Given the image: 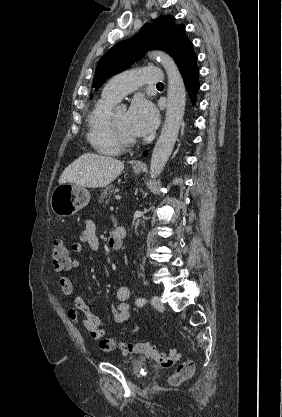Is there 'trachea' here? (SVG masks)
Here are the masks:
<instances>
[{"mask_svg": "<svg viewBox=\"0 0 282 417\" xmlns=\"http://www.w3.org/2000/svg\"><path fill=\"white\" fill-rule=\"evenodd\" d=\"M157 85H163V83L162 82H158Z\"/></svg>", "mask_w": 282, "mask_h": 417, "instance_id": "3493384b", "label": "trachea"}]
</instances>
